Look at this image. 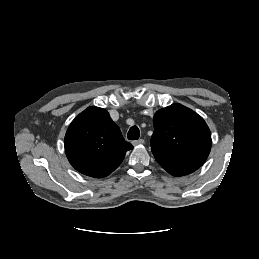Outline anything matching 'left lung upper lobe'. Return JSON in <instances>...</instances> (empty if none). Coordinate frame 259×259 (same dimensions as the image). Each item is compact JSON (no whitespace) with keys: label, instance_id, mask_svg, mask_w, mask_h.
Segmentation results:
<instances>
[{"label":"left lung upper lobe","instance_id":"obj_1","mask_svg":"<svg viewBox=\"0 0 259 259\" xmlns=\"http://www.w3.org/2000/svg\"><path fill=\"white\" fill-rule=\"evenodd\" d=\"M151 150L157 162L200 167L211 149L210 130L191 109L172 104L153 117Z\"/></svg>","mask_w":259,"mask_h":259}]
</instances>
